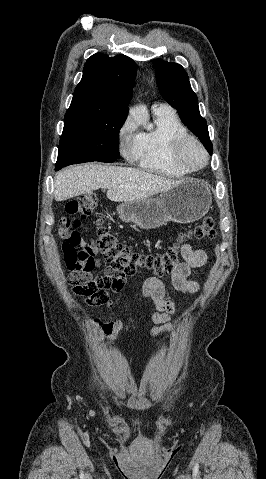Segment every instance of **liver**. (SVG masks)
Segmentation results:
<instances>
[{
	"label": "liver",
	"mask_w": 266,
	"mask_h": 479,
	"mask_svg": "<svg viewBox=\"0 0 266 479\" xmlns=\"http://www.w3.org/2000/svg\"><path fill=\"white\" fill-rule=\"evenodd\" d=\"M183 180H172L130 167L84 164L69 167L54 178L56 201L108 189L107 198L126 202L148 198L167 191Z\"/></svg>",
	"instance_id": "liver-1"
}]
</instances>
